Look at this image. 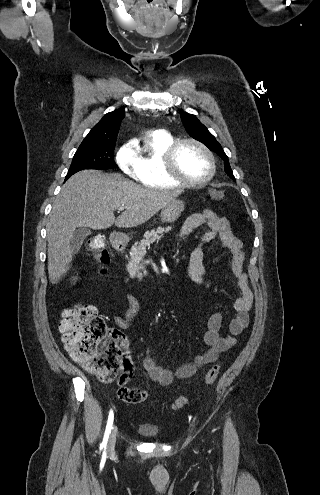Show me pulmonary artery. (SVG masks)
<instances>
[{
  "label": "pulmonary artery",
  "mask_w": 320,
  "mask_h": 495,
  "mask_svg": "<svg viewBox=\"0 0 320 495\" xmlns=\"http://www.w3.org/2000/svg\"><path fill=\"white\" fill-rule=\"evenodd\" d=\"M154 133H165L163 130H156Z\"/></svg>",
  "instance_id": "pulmonary-artery-1"
}]
</instances>
